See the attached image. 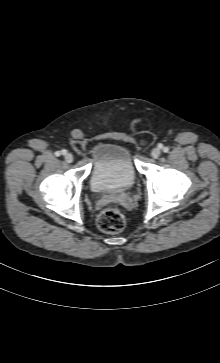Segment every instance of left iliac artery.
I'll return each instance as SVG.
<instances>
[{
    "mask_svg": "<svg viewBox=\"0 0 220 363\" xmlns=\"http://www.w3.org/2000/svg\"><path fill=\"white\" fill-rule=\"evenodd\" d=\"M163 152L168 153L169 152V148L168 147H163Z\"/></svg>",
    "mask_w": 220,
    "mask_h": 363,
    "instance_id": "1",
    "label": "left iliac artery"
}]
</instances>
